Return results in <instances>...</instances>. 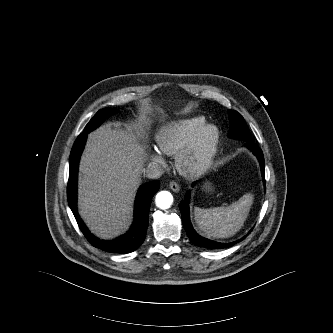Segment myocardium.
Returning <instances> with one entry per match:
<instances>
[{"label":"myocardium","instance_id":"obj_1","mask_svg":"<svg viewBox=\"0 0 333 333\" xmlns=\"http://www.w3.org/2000/svg\"><path fill=\"white\" fill-rule=\"evenodd\" d=\"M219 142V128L214 124H204L178 153L176 166L179 172L189 177L203 173L211 165Z\"/></svg>","mask_w":333,"mask_h":333}]
</instances>
